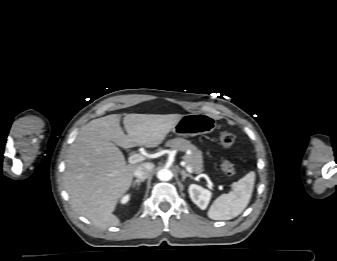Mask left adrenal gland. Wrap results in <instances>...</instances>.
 Returning <instances> with one entry per match:
<instances>
[{"label": "left adrenal gland", "instance_id": "1", "mask_svg": "<svg viewBox=\"0 0 337 261\" xmlns=\"http://www.w3.org/2000/svg\"><path fill=\"white\" fill-rule=\"evenodd\" d=\"M180 173L182 175V181L184 182L187 177L193 179V176L189 173H187L185 170H180Z\"/></svg>", "mask_w": 337, "mask_h": 261}]
</instances>
